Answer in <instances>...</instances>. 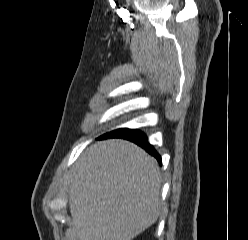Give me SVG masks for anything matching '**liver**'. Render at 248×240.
Here are the masks:
<instances>
[{
	"mask_svg": "<svg viewBox=\"0 0 248 240\" xmlns=\"http://www.w3.org/2000/svg\"><path fill=\"white\" fill-rule=\"evenodd\" d=\"M156 160L125 140L88 148L71 175L69 207L77 240H132L161 207Z\"/></svg>",
	"mask_w": 248,
	"mask_h": 240,
	"instance_id": "obj_1",
	"label": "liver"
}]
</instances>
